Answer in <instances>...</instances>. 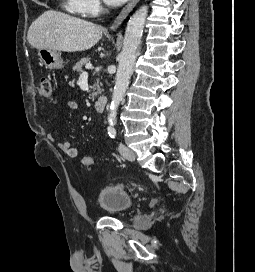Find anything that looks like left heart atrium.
Here are the masks:
<instances>
[{
    "label": "left heart atrium",
    "instance_id": "39dd6f15",
    "mask_svg": "<svg viewBox=\"0 0 255 272\" xmlns=\"http://www.w3.org/2000/svg\"><path fill=\"white\" fill-rule=\"evenodd\" d=\"M107 5L110 6H118L122 4L126 0H104Z\"/></svg>",
    "mask_w": 255,
    "mask_h": 272
}]
</instances>
